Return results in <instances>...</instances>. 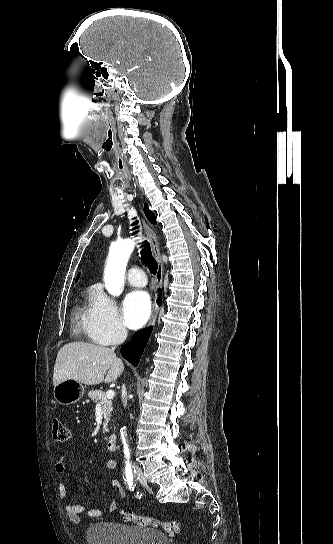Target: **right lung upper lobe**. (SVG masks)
<instances>
[{
	"instance_id": "obj_1",
	"label": "right lung upper lobe",
	"mask_w": 333,
	"mask_h": 544,
	"mask_svg": "<svg viewBox=\"0 0 333 544\" xmlns=\"http://www.w3.org/2000/svg\"><path fill=\"white\" fill-rule=\"evenodd\" d=\"M78 278H79V275L77 276L76 281L78 280Z\"/></svg>"
}]
</instances>
